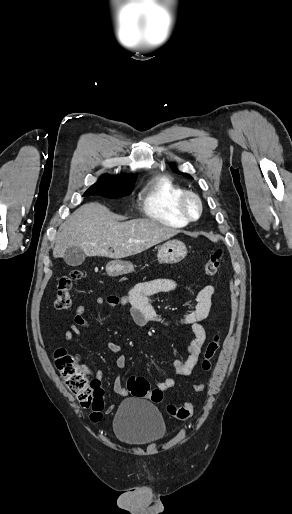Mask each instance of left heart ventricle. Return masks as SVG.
Wrapping results in <instances>:
<instances>
[{"label":"left heart ventricle","instance_id":"obj_1","mask_svg":"<svg viewBox=\"0 0 292 514\" xmlns=\"http://www.w3.org/2000/svg\"><path fill=\"white\" fill-rule=\"evenodd\" d=\"M187 210H188V212H189L190 214H192V215H195V214H196V206H195L194 202L189 201V202L187 203Z\"/></svg>","mask_w":292,"mask_h":514}]
</instances>
